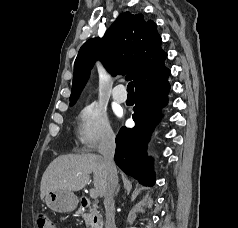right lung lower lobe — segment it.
Here are the masks:
<instances>
[{
    "mask_svg": "<svg viewBox=\"0 0 238 228\" xmlns=\"http://www.w3.org/2000/svg\"><path fill=\"white\" fill-rule=\"evenodd\" d=\"M169 74L170 70L165 67L155 78L135 89L136 105L132 116L135 126L132 129L122 127L116 137V164L146 186L155 183L153 160L147 157L146 149L150 135L160 120L156 111L167 104Z\"/></svg>",
    "mask_w": 238,
    "mask_h": 228,
    "instance_id": "1",
    "label": "right lung lower lobe"
}]
</instances>
